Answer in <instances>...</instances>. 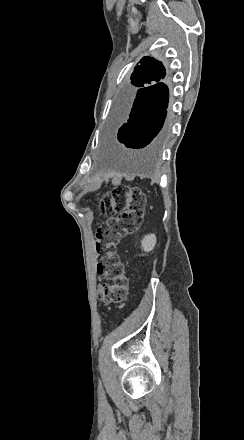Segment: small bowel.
<instances>
[{
  "label": "small bowel",
  "instance_id": "c3829d8e",
  "mask_svg": "<svg viewBox=\"0 0 244 440\" xmlns=\"http://www.w3.org/2000/svg\"><path fill=\"white\" fill-rule=\"evenodd\" d=\"M98 273H99V280H103L102 273H100L99 271Z\"/></svg>",
  "mask_w": 244,
  "mask_h": 440
}]
</instances>
